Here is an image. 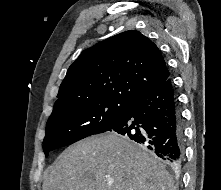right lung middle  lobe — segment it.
Masks as SVG:
<instances>
[{
  "label": "right lung middle lobe",
  "instance_id": "right-lung-middle-lobe-1",
  "mask_svg": "<svg viewBox=\"0 0 221 190\" xmlns=\"http://www.w3.org/2000/svg\"><path fill=\"white\" fill-rule=\"evenodd\" d=\"M127 104L128 102L119 99H101L53 111L47 121L43 141L46 157L50 150L109 131L121 120Z\"/></svg>",
  "mask_w": 221,
  "mask_h": 190
}]
</instances>
